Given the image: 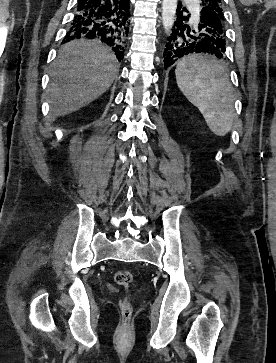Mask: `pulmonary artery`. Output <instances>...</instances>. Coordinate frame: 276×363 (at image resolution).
<instances>
[{
    "label": "pulmonary artery",
    "instance_id": "obj_1",
    "mask_svg": "<svg viewBox=\"0 0 276 363\" xmlns=\"http://www.w3.org/2000/svg\"><path fill=\"white\" fill-rule=\"evenodd\" d=\"M190 4L195 3V0H187ZM196 5V4H195ZM196 13V11H195Z\"/></svg>",
    "mask_w": 276,
    "mask_h": 363
}]
</instances>
